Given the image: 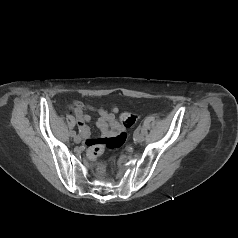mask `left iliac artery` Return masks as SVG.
I'll list each match as a JSON object with an SVG mask.
<instances>
[{"instance_id":"1","label":"left iliac artery","mask_w":238,"mask_h":238,"mask_svg":"<svg viewBox=\"0 0 238 238\" xmlns=\"http://www.w3.org/2000/svg\"><path fill=\"white\" fill-rule=\"evenodd\" d=\"M141 131V134H143V135H145V134H147V132H148V128L147 127H141V129H140Z\"/></svg>"}]
</instances>
